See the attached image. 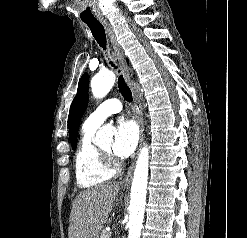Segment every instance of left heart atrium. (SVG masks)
<instances>
[{"mask_svg":"<svg viewBox=\"0 0 247 238\" xmlns=\"http://www.w3.org/2000/svg\"><path fill=\"white\" fill-rule=\"evenodd\" d=\"M137 142L138 129L136 124L129 119H119L115 127L113 153L118 157H127L134 151Z\"/></svg>","mask_w":247,"mask_h":238,"instance_id":"left-heart-atrium-1","label":"left heart atrium"}]
</instances>
